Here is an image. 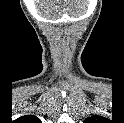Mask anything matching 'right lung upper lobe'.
Instances as JSON below:
<instances>
[{"label":"right lung upper lobe","mask_w":124,"mask_h":123,"mask_svg":"<svg viewBox=\"0 0 124 123\" xmlns=\"http://www.w3.org/2000/svg\"><path fill=\"white\" fill-rule=\"evenodd\" d=\"M21 119H23L24 121L35 122V123L40 122V120L37 117L32 116V115L24 116Z\"/></svg>","instance_id":"1"}]
</instances>
